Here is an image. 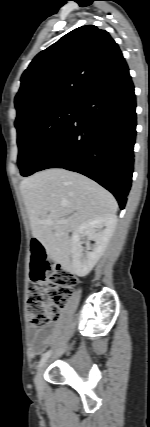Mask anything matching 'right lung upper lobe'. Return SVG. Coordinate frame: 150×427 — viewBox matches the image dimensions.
<instances>
[{"mask_svg": "<svg viewBox=\"0 0 150 427\" xmlns=\"http://www.w3.org/2000/svg\"><path fill=\"white\" fill-rule=\"evenodd\" d=\"M128 68L115 41L94 25L74 29L41 51L21 77L17 119L42 107L78 106Z\"/></svg>", "mask_w": 150, "mask_h": 427, "instance_id": "obj_1", "label": "right lung upper lobe"}]
</instances>
